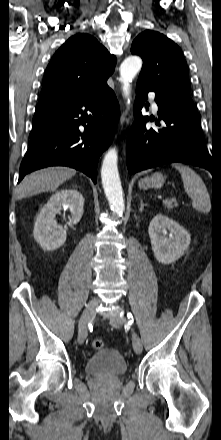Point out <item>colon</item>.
<instances>
[{
	"mask_svg": "<svg viewBox=\"0 0 221 440\" xmlns=\"http://www.w3.org/2000/svg\"><path fill=\"white\" fill-rule=\"evenodd\" d=\"M91 346L94 350H101L104 347V342L101 339H95L92 341Z\"/></svg>",
	"mask_w": 221,
	"mask_h": 440,
	"instance_id": "5ec220e1",
	"label": "colon"
}]
</instances>
